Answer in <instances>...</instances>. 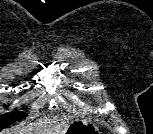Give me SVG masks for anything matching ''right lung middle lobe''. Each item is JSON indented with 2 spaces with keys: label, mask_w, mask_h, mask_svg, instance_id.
I'll return each instance as SVG.
<instances>
[{
  "label": "right lung middle lobe",
  "mask_w": 153,
  "mask_h": 134,
  "mask_svg": "<svg viewBox=\"0 0 153 134\" xmlns=\"http://www.w3.org/2000/svg\"><path fill=\"white\" fill-rule=\"evenodd\" d=\"M23 118H25V114L23 112H17V111L5 115H0V130L8 127L16 120H21Z\"/></svg>",
  "instance_id": "obj_1"
}]
</instances>
